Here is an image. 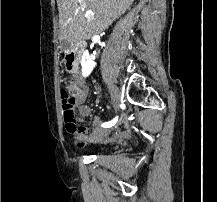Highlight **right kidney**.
I'll return each mask as SVG.
<instances>
[{"label":"right kidney","mask_w":217,"mask_h":202,"mask_svg":"<svg viewBox=\"0 0 217 202\" xmlns=\"http://www.w3.org/2000/svg\"><path fill=\"white\" fill-rule=\"evenodd\" d=\"M81 66H82V76H84V78H87V76H90L95 66V62L91 60L88 50H86V52H84L82 56Z\"/></svg>","instance_id":"1"}]
</instances>
